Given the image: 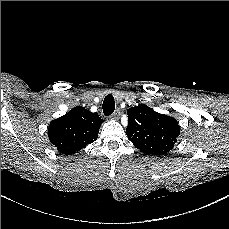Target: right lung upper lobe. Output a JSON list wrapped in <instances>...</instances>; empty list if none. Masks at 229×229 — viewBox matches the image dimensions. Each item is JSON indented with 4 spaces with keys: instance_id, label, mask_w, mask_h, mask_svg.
<instances>
[{
    "instance_id": "1",
    "label": "right lung upper lobe",
    "mask_w": 229,
    "mask_h": 229,
    "mask_svg": "<svg viewBox=\"0 0 229 229\" xmlns=\"http://www.w3.org/2000/svg\"><path fill=\"white\" fill-rule=\"evenodd\" d=\"M102 122L97 113L80 106L74 107L65 115L50 122L49 140L60 153H76L96 141Z\"/></svg>"
}]
</instances>
